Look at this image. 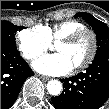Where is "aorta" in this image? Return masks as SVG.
Listing matches in <instances>:
<instances>
[{
    "label": "aorta",
    "instance_id": "aorta-1",
    "mask_svg": "<svg viewBox=\"0 0 109 109\" xmlns=\"http://www.w3.org/2000/svg\"><path fill=\"white\" fill-rule=\"evenodd\" d=\"M47 90L49 94L58 96L62 91V84L58 80H51L47 84Z\"/></svg>",
    "mask_w": 109,
    "mask_h": 109
}]
</instances>
